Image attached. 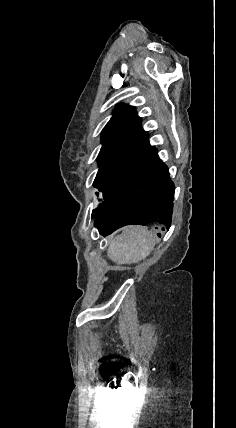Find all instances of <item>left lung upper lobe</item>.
Wrapping results in <instances>:
<instances>
[{
	"label": "left lung upper lobe",
	"mask_w": 236,
	"mask_h": 428,
	"mask_svg": "<svg viewBox=\"0 0 236 428\" xmlns=\"http://www.w3.org/2000/svg\"><path fill=\"white\" fill-rule=\"evenodd\" d=\"M148 139L133 106L121 105L102 131L99 170L93 186L108 193L134 162Z\"/></svg>",
	"instance_id": "5c2ea615"
}]
</instances>
